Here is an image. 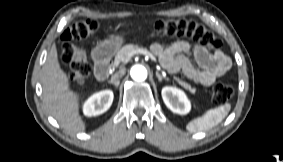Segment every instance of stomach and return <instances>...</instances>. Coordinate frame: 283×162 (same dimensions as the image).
Listing matches in <instances>:
<instances>
[{"instance_id": "0dacf381", "label": "stomach", "mask_w": 283, "mask_h": 162, "mask_svg": "<svg viewBox=\"0 0 283 162\" xmlns=\"http://www.w3.org/2000/svg\"><path fill=\"white\" fill-rule=\"evenodd\" d=\"M123 42L124 37L122 35L112 36L100 43L95 48V52L100 58H109L120 49Z\"/></svg>"}]
</instances>
